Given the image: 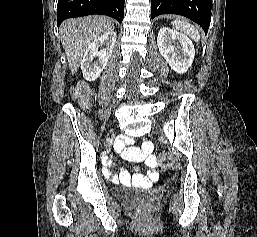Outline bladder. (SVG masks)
Masks as SVG:
<instances>
[{
	"label": "bladder",
	"mask_w": 257,
	"mask_h": 237,
	"mask_svg": "<svg viewBox=\"0 0 257 237\" xmlns=\"http://www.w3.org/2000/svg\"><path fill=\"white\" fill-rule=\"evenodd\" d=\"M137 198L138 197L134 194H127V195L124 196V199L127 200L128 202H132Z\"/></svg>",
	"instance_id": "1"
}]
</instances>
